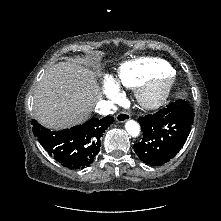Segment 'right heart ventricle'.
Returning <instances> with one entry per match:
<instances>
[{"mask_svg":"<svg viewBox=\"0 0 221 221\" xmlns=\"http://www.w3.org/2000/svg\"><path fill=\"white\" fill-rule=\"evenodd\" d=\"M171 70V66L162 59H135L121 64L115 82L127 88H137L153 76Z\"/></svg>","mask_w":221,"mask_h":221,"instance_id":"obj_1","label":"right heart ventricle"}]
</instances>
